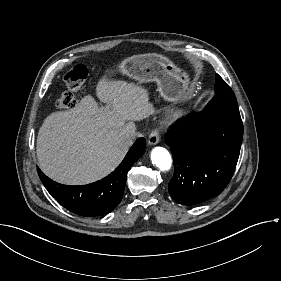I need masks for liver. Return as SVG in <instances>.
Listing matches in <instances>:
<instances>
[{"mask_svg":"<svg viewBox=\"0 0 281 281\" xmlns=\"http://www.w3.org/2000/svg\"><path fill=\"white\" fill-rule=\"evenodd\" d=\"M96 94L111 107L108 112L87 95L71 110L50 114L39 129L36 153L40 168L56 182L84 185L106 176L131 146L122 136L135 133L133 121L154 113L148 90L134 83L102 78Z\"/></svg>","mask_w":281,"mask_h":281,"instance_id":"liver-1","label":"liver"}]
</instances>
